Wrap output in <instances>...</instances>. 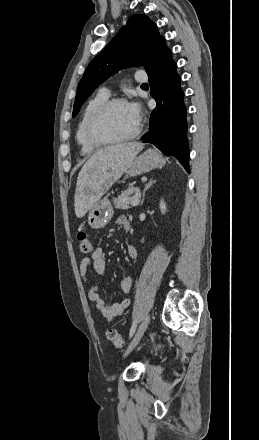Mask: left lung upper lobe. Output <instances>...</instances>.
Instances as JSON below:
<instances>
[{"instance_id": "left-lung-upper-lobe-1", "label": "left lung upper lobe", "mask_w": 259, "mask_h": 440, "mask_svg": "<svg viewBox=\"0 0 259 440\" xmlns=\"http://www.w3.org/2000/svg\"><path fill=\"white\" fill-rule=\"evenodd\" d=\"M164 38L146 15H133L109 44L88 65L78 85L72 117L92 92L123 68L147 67Z\"/></svg>"}]
</instances>
